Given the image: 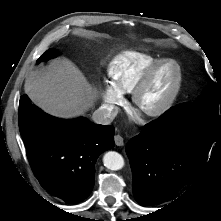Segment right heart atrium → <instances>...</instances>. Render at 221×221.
I'll list each match as a JSON object with an SVG mask.
<instances>
[{
	"label": "right heart atrium",
	"mask_w": 221,
	"mask_h": 221,
	"mask_svg": "<svg viewBox=\"0 0 221 221\" xmlns=\"http://www.w3.org/2000/svg\"><path fill=\"white\" fill-rule=\"evenodd\" d=\"M102 98L104 101L105 108L114 112L118 106L124 102L123 93L118 91L112 84L106 83L102 90Z\"/></svg>",
	"instance_id": "d8ad5b80"
}]
</instances>
